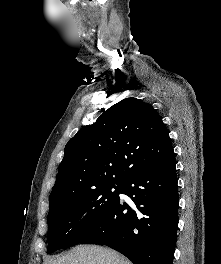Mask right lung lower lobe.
<instances>
[{"label": "right lung lower lobe", "instance_id": "obj_1", "mask_svg": "<svg viewBox=\"0 0 221 264\" xmlns=\"http://www.w3.org/2000/svg\"><path fill=\"white\" fill-rule=\"evenodd\" d=\"M176 161L163 162L129 176L113 210L80 244L107 245L134 264H172L178 227Z\"/></svg>", "mask_w": 221, "mask_h": 264}]
</instances>
